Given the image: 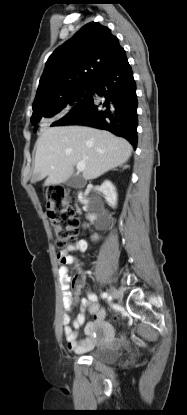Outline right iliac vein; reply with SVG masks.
I'll return each instance as SVG.
<instances>
[{
	"label": "right iliac vein",
	"mask_w": 187,
	"mask_h": 415,
	"mask_svg": "<svg viewBox=\"0 0 187 415\" xmlns=\"http://www.w3.org/2000/svg\"><path fill=\"white\" fill-rule=\"evenodd\" d=\"M109 294L111 296V298L116 299L119 296V292L117 291V289L113 286H111L109 288Z\"/></svg>",
	"instance_id": "right-iliac-vein-1"
}]
</instances>
